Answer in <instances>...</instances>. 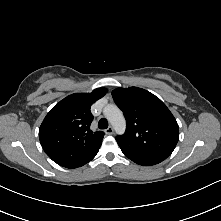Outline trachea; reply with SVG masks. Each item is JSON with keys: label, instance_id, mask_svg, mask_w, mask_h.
<instances>
[{"label": "trachea", "instance_id": "3493384b", "mask_svg": "<svg viewBox=\"0 0 221 221\" xmlns=\"http://www.w3.org/2000/svg\"><path fill=\"white\" fill-rule=\"evenodd\" d=\"M99 129H106L108 127V121L105 118H102L98 122Z\"/></svg>", "mask_w": 221, "mask_h": 221}]
</instances>
